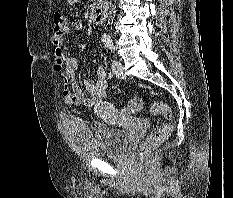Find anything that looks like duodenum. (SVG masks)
I'll return each instance as SVG.
<instances>
[{
    "label": "duodenum",
    "instance_id": "410a0bca",
    "mask_svg": "<svg viewBox=\"0 0 233 198\" xmlns=\"http://www.w3.org/2000/svg\"><path fill=\"white\" fill-rule=\"evenodd\" d=\"M107 12H108L107 2H101L94 11L92 18L93 22L96 24L102 23L106 19Z\"/></svg>",
    "mask_w": 233,
    "mask_h": 198
}]
</instances>
